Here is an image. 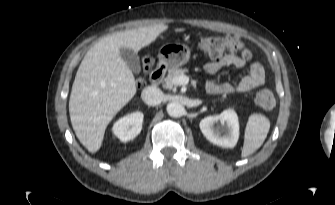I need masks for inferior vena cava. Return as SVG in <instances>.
Returning <instances> with one entry per match:
<instances>
[{"label": "inferior vena cava", "mask_w": 335, "mask_h": 205, "mask_svg": "<svg viewBox=\"0 0 335 205\" xmlns=\"http://www.w3.org/2000/svg\"><path fill=\"white\" fill-rule=\"evenodd\" d=\"M141 98L147 105L155 106L161 103L163 93L155 86H148L143 89Z\"/></svg>", "instance_id": "inferior-vena-cava-1"}]
</instances>
